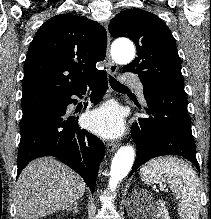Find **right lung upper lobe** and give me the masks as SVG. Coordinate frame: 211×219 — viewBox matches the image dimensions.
Returning <instances> with one entry per match:
<instances>
[{
    "instance_id": "cb5924a9",
    "label": "right lung upper lobe",
    "mask_w": 211,
    "mask_h": 219,
    "mask_svg": "<svg viewBox=\"0 0 211 219\" xmlns=\"http://www.w3.org/2000/svg\"><path fill=\"white\" fill-rule=\"evenodd\" d=\"M106 45V30L95 21L71 13L50 18L28 49L21 105L59 100L104 73L95 64Z\"/></svg>"
}]
</instances>
